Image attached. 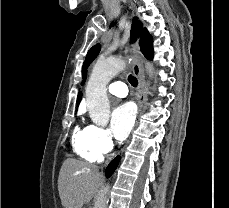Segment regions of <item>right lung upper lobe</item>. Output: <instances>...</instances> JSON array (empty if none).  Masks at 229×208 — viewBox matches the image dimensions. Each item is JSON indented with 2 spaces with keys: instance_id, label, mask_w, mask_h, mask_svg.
<instances>
[{
  "instance_id": "1",
  "label": "right lung upper lobe",
  "mask_w": 229,
  "mask_h": 208,
  "mask_svg": "<svg viewBox=\"0 0 229 208\" xmlns=\"http://www.w3.org/2000/svg\"><path fill=\"white\" fill-rule=\"evenodd\" d=\"M85 80H86V75L84 76V79H83L81 85H83L85 83ZM81 98H82V93L79 92L78 97H77V103L80 102Z\"/></svg>"
}]
</instances>
